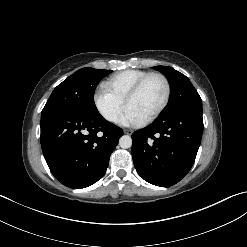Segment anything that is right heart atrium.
Instances as JSON below:
<instances>
[{
  "label": "right heart atrium",
  "instance_id": "obj_1",
  "mask_svg": "<svg viewBox=\"0 0 247 247\" xmlns=\"http://www.w3.org/2000/svg\"><path fill=\"white\" fill-rule=\"evenodd\" d=\"M94 104L98 112L109 122H116L124 108V100L105 86L95 92Z\"/></svg>",
  "mask_w": 247,
  "mask_h": 247
}]
</instances>
